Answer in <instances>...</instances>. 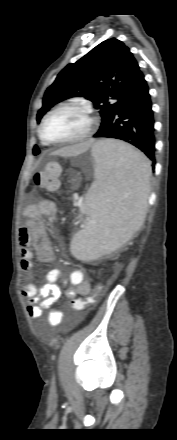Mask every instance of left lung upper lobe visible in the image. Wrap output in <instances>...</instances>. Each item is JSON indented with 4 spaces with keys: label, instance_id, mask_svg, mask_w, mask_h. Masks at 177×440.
I'll use <instances>...</instances> for the list:
<instances>
[{
    "label": "left lung upper lobe",
    "instance_id": "5c2ea615",
    "mask_svg": "<svg viewBox=\"0 0 177 440\" xmlns=\"http://www.w3.org/2000/svg\"><path fill=\"white\" fill-rule=\"evenodd\" d=\"M141 74L136 59L122 41L115 38L105 40L58 74L45 92L37 122L53 105L80 96L91 100L99 109L103 125ZM33 153H39L37 146Z\"/></svg>",
    "mask_w": 177,
    "mask_h": 440
}]
</instances>
